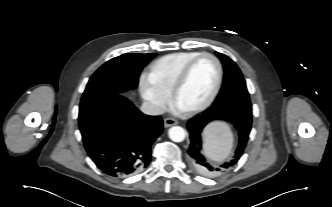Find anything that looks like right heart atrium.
Listing matches in <instances>:
<instances>
[{"mask_svg": "<svg viewBox=\"0 0 332 207\" xmlns=\"http://www.w3.org/2000/svg\"><path fill=\"white\" fill-rule=\"evenodd\" d=\"M140 91L143 99L157 113H162L170 103V96L151 84L146 77L140 81Z\"/></svg>", "mask_w": 332, "mask_h": 207, "instance_id": "1", "label": "right heart atrium"}]
</instances>
